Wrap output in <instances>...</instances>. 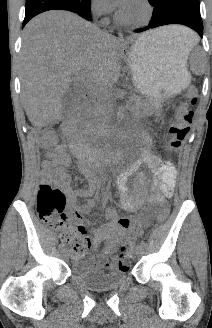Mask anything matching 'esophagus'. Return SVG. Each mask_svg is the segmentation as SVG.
Masks as SVG:
<instances>
[{
    "label": "esophagus",
    "mask_w": 212,
    "mask_h": 328,
    "mask_svg": "<svg viewBox=\"0 0 212 328\" xmlns=\"http://www.w3.org/2000/svg\"><path fill=\"white\" fill-rule=\"evenodd\" d=\"M118 38L120 41H124V35L121 32H118Z\"/></svg>",
    "instance_id": "obj_1"
}]
</instances>
